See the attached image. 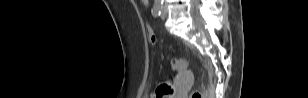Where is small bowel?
<instances>
[{
	"instance_id": "1",
	"label": "small bowel",
	"mask_w": 308,
	"mask_h": 98,
	"mask_svg": "<svg viewBox=\"0 0 308 98\" xmlns=\"http://www.w3.org/2000/svg\"><path fill=\"white\" fill-rule=\"evenodd\" d=\"M144 5H148L149 1L148 0H143Z\"/></svg>"
}]
</instances>
